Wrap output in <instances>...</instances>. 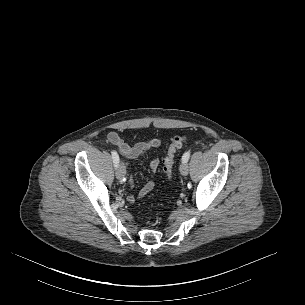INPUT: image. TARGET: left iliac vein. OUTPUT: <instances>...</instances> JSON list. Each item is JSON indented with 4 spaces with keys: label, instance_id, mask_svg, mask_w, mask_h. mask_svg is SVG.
<instances>
[{
    "label": "left iliac vein",
    "instance_id": "4c4485c4",
    "mask_svg": "<svg viewBox=\"0 0 305 305\" xmlns=\"http://www.w3.org/2000/svg\"><path fill=\"white\" fill-rule=\"evenodd\" d=\"M180 172L183 176L188 175V165L186 162H182L180 165Z\"/></svg>",
    "mask_w": 305,
    "mask_h": 305
}]
</instances>
